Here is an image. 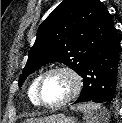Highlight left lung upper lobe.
<instances>
[{
  "mask_svg": "<svg viewBox=\"0 0 122 123\" xmlns=\"http://www.w3.org/2000/svg\"><path fill=\"white\" fill-rule=\"evenodd\" d=\"M113 27L111 15L99 0H63L39 26L19 85L52 62L65 63L80 75Z\"/></svg>",
  "mask_w": 122,
  "mask_h": 123,
  "instance_id": "left-lung-upper-lobe-1",
  "label": "left lung upper lobe"
}]
</instances>
